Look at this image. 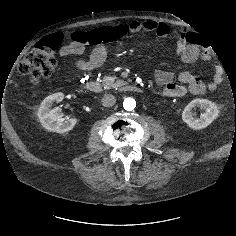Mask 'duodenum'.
<instances>
[{
	"mask_svg": "<svg viewBox=\"0 0 236 236\" xmlns=\"http://www.w3.org/2000/svg\"><path fill=\"white\" fill-rule=\"evenodd\" d=\"M85 89L92 93H101L103 91V87L101 83L97 81H89L85 85ZM123 91L132 92V93H140L142 89L133 84H126L122 87Z\"/></svg>",
	"mask_w": 236,
	"mask_h": 236,
	"instance_id": "410a0bca",
	"label": "duodenum"
}]
</instances>
